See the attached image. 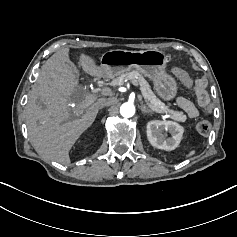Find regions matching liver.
<instances>
[{
    "label": "liver",
    "instance_id": "1",
    "mask_svg": "<svg viewBox=\"0 0 237 237\" xmlns=\"http://www.w3.org/2000/svg\"><path fill=\"white\" fill-rule=\"evenodd\" d=\"M68 53L65 48L46 61L26 105L28 134L36 152L63 165L70 164L69 151L94 122L102 99L94 102L91 96L77 98L73 101L77 106L69 107L78 87L79 71ZM79 63L91 76H105L104 69L85 54L80 55ZM102 94L112 95L111 89L105 88Z\"/></svg>",
    "mask_w": 237,
    "mask_h": 237
}]
</instances>
